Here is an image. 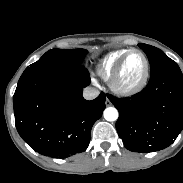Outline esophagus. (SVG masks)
I'll use <instances>...</instances> for the list:
<instances>
[{
	"instance_id": "1",
	"label": "esophagus",
	"mask_w": 183,
	"mask_h": 183,
	"mask_svg": "<svg viewBox=\"0 0 183 183\" xmlns=\"http://www.w3.org/2000/svg\"><path fill=\"white\" fill-rule=\"evenodd\" d=\"M105 104H106V106H110L111 105V101L109 100V98H106Z\"/></svg>"
}]
</instances>
